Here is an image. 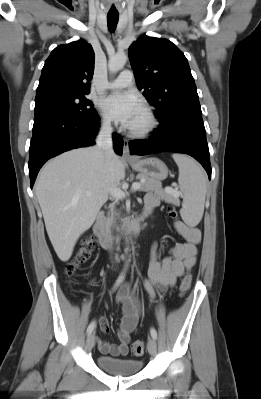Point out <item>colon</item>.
I'll use <instances>...</instances> for the list:
<instances>
[{
	"label": "colon",
	"instance_id": "colon-1",
	"mask_svg": "<svg viewBox=\"0 0 261 399\" xmlns=\"http://www.w3.org/2000/svg\"><path fill=\"white\" fill-rule=\"evenodd\" d=\"M167 213L171 218L174 219L177 218V211L175 210L174 207L168 206ZM94 248H95L94 239L92 237L87 238L82 244L80 250L77 252L75 258L66 266L67 276H72L81 265L85 264L87 261L90 260L94 252ZM191 283H192V275L190 273L185 274L179 288L181 295H184L189 290ZM144 350H145V344L143 341L137 340L132 343L131 353L134 356L142 355L144 353Z\"/></svg>",
	"mask_w": 261,
	"mask_h": 399
}]
</instances>
